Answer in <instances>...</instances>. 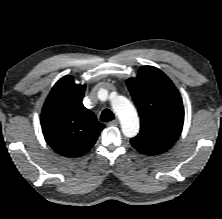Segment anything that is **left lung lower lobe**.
Segmentation results:
<instances>
[{"mask_svg": "<svg viewBox=\"0 0 222 219\" xmlns=\"http://www.w3.org/2000/svg\"><path fill=\"white\" fill-rule=\"evenodd\" d=\"M133 146H134V148H136L142 154L155 155V154L162 153L161 151L154 150V149H148V148L141 147V146H138V145H133Z\"/></svg>", "mask_w": 222, "mask_h": 219, "instance_id": "left-lung-lower-lobe-1", "label": "left lung lower lobe"}]
</instances>
